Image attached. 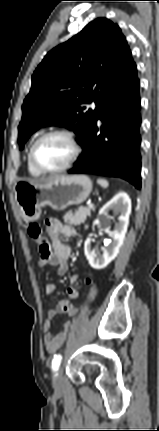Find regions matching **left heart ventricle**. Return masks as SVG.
I'll return each mask as SVG.
<instances>
[{
    "label": "left heart ventricle",
    "mask_w": 159,
    "mask_h": 431,
    "mask_svg": "<svg viewBox=\"0 0 159 431\" xmlns=\"http://www.w3.org/2000/svg\"><path fill=\"white\" fill-rule=\"evenodd\" d=\"M72 152V146L66 137L51 136L37 145L35 159L45 169H57L68 162Z\"/></svg>",
    "instance_id": "b2bd125f"
}]
</instances>
